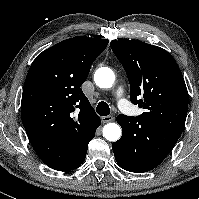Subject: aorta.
Wrapping results in <instances>:
<instances>
[{
    "mask_svg": "<svg viewBox=\"0 0 199 199\" xmlns=\"http://www.w3.org/2000/svg\"><path fill=\"white\" fill-rule=\"evenodd\" d=\"M94 80L100 88H110L115 81L114 72L108 67L99 68L94 75ZM121 128L116 123H108L103 127V136L109 141H117L121 137Z\"/></svg>",
    "mask_w": 199,
    "mask_h": 199,
    "instance_id": "aorta-1",
    "label": "aorta"
}]
</instances>
